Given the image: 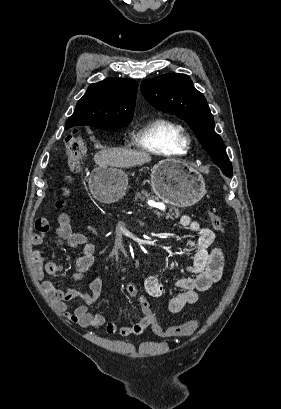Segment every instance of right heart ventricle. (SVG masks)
Here are the masks:
<instances>
[{
  "instance_id": "1",
  "label": "right heart ventricle",
  "mask_w": 281,
  "mask_h": 409,
  "mask_svg": "<svg viewBox=\"0 0 281 409\" xmlns=\"http://www.w3.org/2000/svg\"><path fill=\"white\" fill-rule=\"evenodd\" d=\"M141 141L144 148L159 156H182L187 150L183 145L184 127L169 118L156 117L142 129Z\"/></svg>"
}]
</instances>
